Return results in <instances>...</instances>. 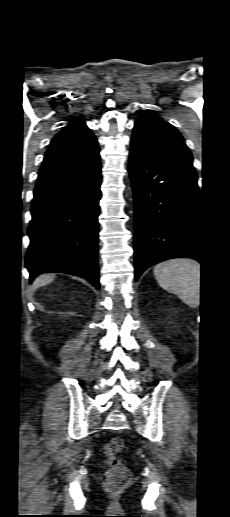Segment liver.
<instances>
[{
	"instance_id": "liver-1",
	"label": "liver",
	"mask_w": 230,
	"mask_h": 517,
	"mask_svg": "<svg viewBox=\"0 0 230 517\" xmlns=\"http://www.w3.org/2000/svg\"><path fill=\"white\" fill-rule=\"evenodd\" d=\"M55 278V274L51 273H45L37 277L33 283V286L35 288L42 287L44 285H47L51 283Z\"/></svg>"
}]
</instances>
